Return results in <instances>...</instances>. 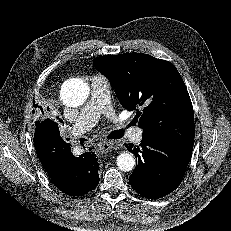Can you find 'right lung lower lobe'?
Listing matches in <instances>:
<instances>
[{"label": "right lung lower lobe", "instance_id": "right-lung-lower-lobe-1", "mask_svg": "<svg viewBox=\"0 0 231 231\" xmlns=\"http://www.w3.org/2000/svg\"><path fill=\"white\" fill-rule=\"evenodd\" d=\"M33 140L45 171L63 193L81 196L97 186L98 158L93 152L73 156L71 145L61 138L57 123L52 120L40 122Z\"/></svg>", "mask_w": 231, "mask_h": 231}]
</instances>
